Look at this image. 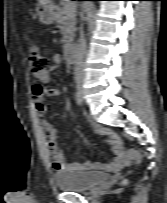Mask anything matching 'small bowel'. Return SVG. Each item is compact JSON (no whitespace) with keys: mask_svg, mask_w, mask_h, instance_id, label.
<instances>
[{"mask_svg":"<svg viewBox=\"0 0 167 203\" xmlns=\"http://www.w3.org/2000/svg\"><path fill=\"white\" fill-rule=\"evenodd\" d=\"M62 63V57L56 54L53 57V66L40 74L34 75V83L32 84L31 91L34 100L35 110L39 116H44L46 113V106L43 103V98L57 97L61 94L58 88H45L43 84L50 81V74L57 70ZM42 128L48 139V147L52 158V167L58 170L72 169V170H105L108 172L116 173L120 171L127 164L122 161L123 145L120 137L113 131L103 128L96 123L91 124L92 131L95 134L101 135L106 138L107 143L112 148L114 157L109 162H84V163H70L67 162L63 150L57 143V132L54 125L43 120Z\"/></svg>","mask_w":167,"mask_h":203,"instance_id":"1","label":"small bowel"}]
</instances>
